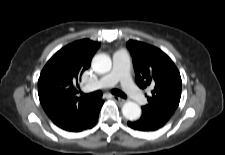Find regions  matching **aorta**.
<instances>
[{"instance_id":"aorta-1","label":"aorta","mask_w":225,"mask_h":155,"mask_svg":"<svg viewBox=\"0 0 225 155\" xmlns=\"http://www.w3.org/2000/svg\"><path fill=\"white\" fill-rule=\"evenodd\" d=\"M92 68L98 74L108 73L112 68V61L106 54L95 55L92 59ZM122 113L128 120H137L141 116V108L137 103L127 101L122 106Z\"/></svg>"}]
</instances>
